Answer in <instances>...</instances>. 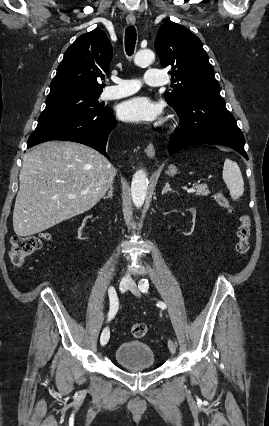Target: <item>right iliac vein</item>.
Returning <instances> with one entry per match:
<instances>
[{
  "label": "right iliac vein",
  "mask_w": 269,
  "mask_h": 426,
  "mask_svg": "<svg viewBox=\"0 0 269 426\" xmlns=\"http://www.w3.org/2000/svg\"><path fill=\"white\" fill-rule=\"evenodd\" d=\"M129 286V280L127 278H123L119 283V288L121 292H125ZM110 338V331L108 327H105L101 333L100 344L101 346H105Z\"/></svg>",
  "instance_id": "right-iliac-vein-1"
}]
</instances>
